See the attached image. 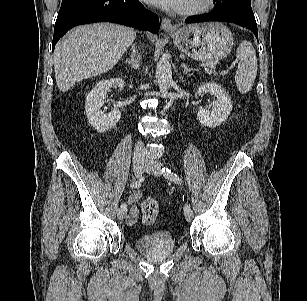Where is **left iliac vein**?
I'll use <instances>...</instances> for the list:
<instances>
[{
    "mask_svg": "<svg viewBox=\"0 0 307 301\" xmlns=\"http://www.w3.org/2000/svg\"><path fill=\"white\" fill-rule=\"evenodd\" d=\"M145 171L153 175L160 176L162 174V164L149 158L145 161ZM184 215L186 221L188 222L192 221L194 217V213L191 208L188 211H185Z\"/></svg>",
    "mask_w": 307,
    "mask_h": 301,
    "instance_id": "left-iliac-vein-1",
    "label": "left iliac vein"
}]
</instances>
